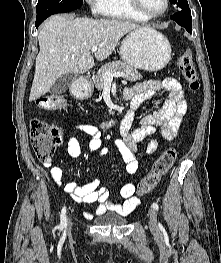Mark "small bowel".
Instances as JSON below:
<instances>
[{"mask_svg": "<svg viewBox=\"0 0 221 263\" xmlns=\"http://www.w3.org/2000/svg\"><path fill=\"white\" fill-rule=\"evenodd\" d=\"M161 93H165L168 96L163 107L159 111L144 116L140 120L139 126L135 129L130 130V120L124 121L121 127V136L114 140V145L122 157L127 174H135L138 170L139 143L155 132H159L168 140L173 139L187 113L188 105L182 85L175 79L139 82L132 88L124 90V96L130 100L132 108H137L145 101L152 100ZM73 132L75 134L81 132L90 137L88 142V150L90 152L105 154L108 151V147L104 145L102 140V132L98 127L88 124H76ZM64 141L68 154L72 158H79L82 149L77 138L73 135H68L64 138ZM158 145L157 140H150L147 144L146 152L154 154L158 149ZM43 164L50 169L52 179L61 185L62 169L52 166L51 161H44ZM64 190L77 203L97 204L94 213L86 212V217H91L93 214L102 215L107 211L126 216L132 213L140 203L139 198L135 196V185L131 182L122 186L120 196L123 201L118 203L109 199L108 191L100 186L98 178L84 185L69 182L64 185Z\"/></svg>", "mask_w": 221, "mask_h": 263, "instance_id": "1", "label": "small bowel"}]
</instances>
